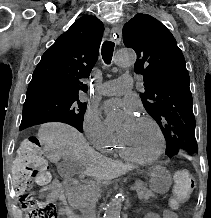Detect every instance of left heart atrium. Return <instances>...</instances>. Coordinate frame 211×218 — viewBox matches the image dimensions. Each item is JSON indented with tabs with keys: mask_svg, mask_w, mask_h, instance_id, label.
<instances>
[{
	"mask_svg": "<svg viewBox=\"0 0 211 218\" xmlns=\"http://www.w3.org/2000/svg\"><path fill=\"white\" fill-rule=\"evenodd\" d=\"M118 109L124 115V121L122 124V129L127 130L131 128L135 122L138 120L137 116V104L131 99H120L109 101L106 104V110Z\"/></svg>",
	"mask_w": 211,
	"mask_h": 218,
	"instance_id": "left-heart-atrium-1",
	"label": "left heart atrium"
}]
</instances>
